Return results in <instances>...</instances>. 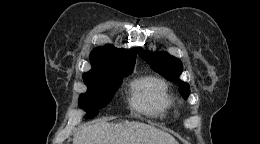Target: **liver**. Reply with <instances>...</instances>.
Listing matches in <instances>:
<instances>
[{"label": "liver", "mask_w": 260, "mask_h": 144, "mask_svg": "<svg viewBox=\"0 0 260 144\" xmlns=\"http://www.w3.org/2000/svg\"><path fill=\"white\" fill-rule=\"evenodd\" d=\"M73 144H179L173 136L138 121L98 122L84 126L73 137Z\"/></svg>", "instance_id": "obj_1"}]
</instances>
